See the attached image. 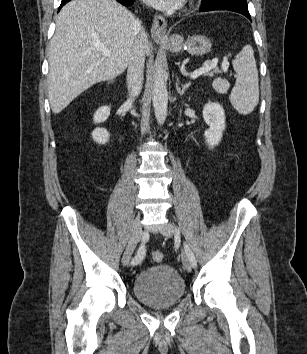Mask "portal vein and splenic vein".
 I'll use <instances>...</instances> for the list:
<instances>
[{"label": "portal vein and splenic vein", "mask_w": 307, "mask_h": 354, "mask_svg": "<svg viewBox=\"0 0 307 354\" xmlns=\"http://www.w3.org/2000/svg\"><path fill=\"white\" fill-rule=\"evenodd\" d=\"M97 50H99L101 52V54L104 57H108L110 56L111 52L110 50L103 46V45H97L96 46ZM218 63V58H213L212 60H207L204 62L203 66L199 69H196L191 75L190 78L191 79H196L197 77H199L200 75H203L205 73L210 72L212 69H214L217 66ZM222 67L224 71H227L228 67H229V63L228 61H223L222 63Z\"/></svg>", "instance_id": "1"}]
</instances>
